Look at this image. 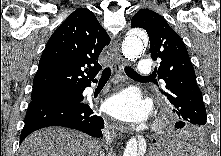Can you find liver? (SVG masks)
I'll return each instance as SVG.
<instances>
[{
    "label": "liver",
    "mask_w": 221,
    "mask_h": 156,
    "mask_svg": "<svg viewBox=\"0 0 221 156\" xmlns=\"http://www.w3.org/2000/svg\"><path fill=\"white\" fill-rule=\"evenodd\" d=\"M96 140L70 129L48 127L31 133L19 148L20 156H98Z\"/></svg>",
    "instance_id": "1"
}]
</instances>
